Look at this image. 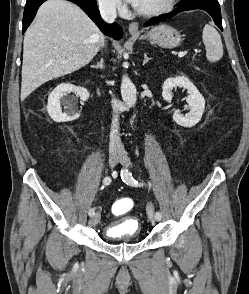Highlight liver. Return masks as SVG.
<instances>
[{
	"label": "liver",
	"mask_w": 249,
	"mask_h": 294,
	"mask_svg": "<svg viewBox=\"0 0 249 294\" xmlns=\"http://www.w3.org/2000/svg\"><path fill=\"white\" fill-rule=\"evenodd\" d=\"M103 41L98 27L77 5L47 0L25 33L21 99L45 82L86 66Z\"/></svg>",
	"instance_id": "obj_1"
}]
</instances>
